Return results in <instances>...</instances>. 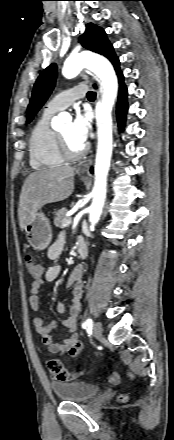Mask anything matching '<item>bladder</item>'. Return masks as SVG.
Wrapping results in <instances>:
<instances>
[{"label":"bladder","mask_w":174,"mask_h":440,"mask_svg":"<svg viewBox=\"0 0 174 440\" xmlns=\"http://www.w3.org/2000/svg\"><path fill=\"white\" fill-rule=\"evenodd\" d=\"M51 388L58 399L70 402L88 401L100 391L98 385L82 381L54 382Z\"/></svg>","instance_id":"31cf9c89"}]
</instances>
